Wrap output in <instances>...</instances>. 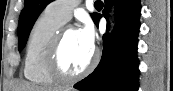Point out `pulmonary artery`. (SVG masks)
Returning a JSON list of instances; mask_svg holds the SVG:
<instances>
[{"label":"pulmonary artery","instance_id":"obj_1","mask_svg":"<svg viewBox=\"0 0 173 91\" xmlns=\"http://www.w3.org/2000/svg\"><path fill=\"white\" fill-rule=\"evenodd\" d=\"M79 2L78 0L53 1L48 6V10L61 22L66 23L71 19L73 10Z\"/></svg>","mask_w":173,"mask_h":91}]
</instances>
